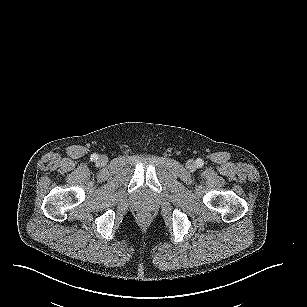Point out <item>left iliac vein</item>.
Returning <instances> with one entry per match:
<instances>
[{
    "label": "left iliac vein",
    "instance_id": "obj_1",
    "mask_svg": "<svg viewBox=\"0 0 307 307\" xmlns=\"http://www.w3.org/2000/svg\"><path fill=\"white\" fill-rule=\"evenodd\" d=\"M186 166H187V168H188L189 170H191V171H193V170L196 169V166H195V164H194L193 161H188Z\"/></svg>",
    "mask_w": 307,
    "mask_h": 307
}]
</instances>
